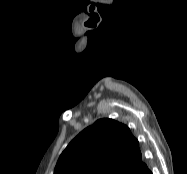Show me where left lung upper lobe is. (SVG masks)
I'll return each mask as SVG.
<instances>
[{"label":"left lung upper lobe","instance_id":"1","mask_svg":"<svg viewBox=\"0 0 187 174\" xmlns=\"http://www.w3.org/2000/svg\"><path fill=\"white\" fill-rule=\"evenodd\" d=\"M129 128L104 118L84 129L60 155L54 174H135L146 168Z\"/></svg>","mask_w":187,"mask_h":174}]
</instances>
